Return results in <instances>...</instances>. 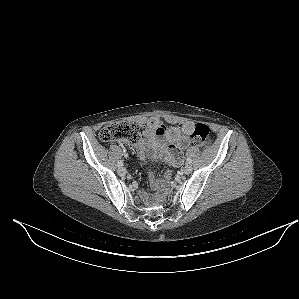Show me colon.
Here are the masks:
<instances>
[{"mask_svg":"<svg viewBox=\"0 0 299 299\" xmlns=\"http://www.w3.org/2000/svg\"><path fill=\"white\" fill-rule=\"evenodd\" d=\"M144 130V126L137 123L115 121L103 127L99 133V138L103 142L126 141L135 143L143 134ZM209 132V127L206 124L197 123L190 137L195 145L203 146L208 140ZM158 191L159 195L163 197L167 191L166 185L163 183Z\"/></svg>","mask_w":299,"mask_h":299,"instance_id":"obj_1","label":"colon"}]
</instances>
